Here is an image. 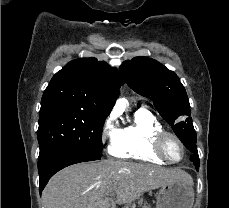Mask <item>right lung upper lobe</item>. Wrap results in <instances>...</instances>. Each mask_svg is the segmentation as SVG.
<instances>
[{
    "label": "right lung upper lobe",
    "mask_w": 229,
    "mask_h": 208,
    "mask_svg": "<svg viewBox=\"0 0 229 208\" xmlns=\"http://www.w3.org/2000/svg\"><path fill=\"white\" fill-rule=\"evenodd\" d=\"M123 79L115 68L96 58L69 62L50 81L41 104L65 102L106 118L118 97Z\"/></svg>",
    "instance_id": "obj_1"
}]
</instances>
